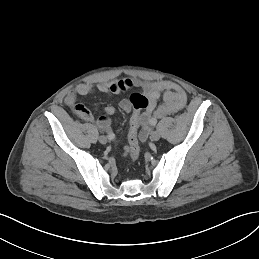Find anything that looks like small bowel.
I'll use <instances>...</instances> for the list:
<instances>
[{"mask_svg":"<svg viewBox=\"0 0 259 259\" xmlns=\"http://www.w3.org/2000/svg\"><path fill=\"white\" fill-rule=\"evenodd\" d=\"M133 87L139 88L149 101L147 109L141 115V131L139 137L142 142L148 139L153 119L174 114L182 110L187 103L186 92L181 86L174 82L168 80L150 82L131 78L112 82H101L96 85L81 83L68 93L65 101L69 106L74 107L85 121L95 123L96 126L104 132H111L112 124L109 116L116 113L115 107L107 105L104 108L106 115L96 118L84 105L76 102L77 96L92 94L96 91L104 94H116ZM161 95H163V103L158 104ZM119 106L127 113L132 111L130 101L127 99L120 101ZM124 154H128V147L125 148Z\"/></svg>","mask_w":259,"mask_h":259,"instance_id":"c3829d8e","label":"small bowel"}]
</instances>
